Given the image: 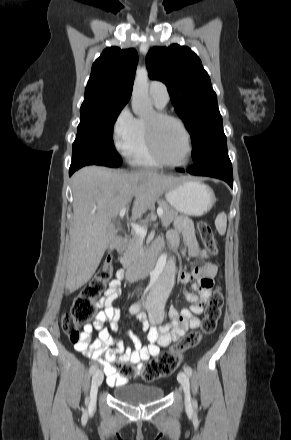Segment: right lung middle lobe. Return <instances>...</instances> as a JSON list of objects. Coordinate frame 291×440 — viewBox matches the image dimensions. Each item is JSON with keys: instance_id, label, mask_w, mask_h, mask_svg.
I'll return each mask as SVG.
<instances>
[{"instance_id": "1", "label": "right lung middle lobe", "mask_w": 291, "mask_h": 440, "mask_svg": "<svg viewBox=\"0 0 291 440\" xmlns=\"http://www.w3.org/2000/svg\"><path fill=\"white\" fill-rule=\"evenodd\" d=\"M125 105L115 102L82 104L72 161L88 159L103 166H120L122 159L114 147L113 126Z\"/></svg>"}]
</instances>
